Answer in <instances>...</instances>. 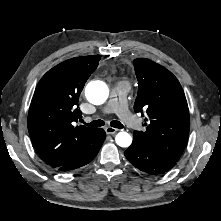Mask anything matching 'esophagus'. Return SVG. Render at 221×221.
Masks as SVG:
<instances>
[{
	"label": "esophagus",
	"instance_id": "34e87169",
	"mask_svg": "<svg viewBox=\"0 0 221 221\" xmlns=\"http://www.w3.org/2000/svg\"><path fill=\"white\" fill-rule=\"evenodd\" d=\"M117 131H118V129L113 128V127H110V126H108V127L105 128L106 134H109V135H113V134H115Z\"/></svg>",
	"mask_w": 221,
	"mask_h": 221
}]
</instances>
